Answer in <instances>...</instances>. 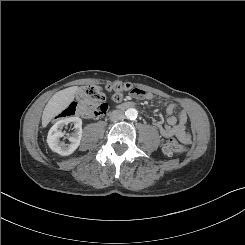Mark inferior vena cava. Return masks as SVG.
Wrapping results in <instances>:
<instances>
[{
    "mask_svg": "<svg viewBox=\"0 0 245 245\" xmlns=\"http://www.w3.org/2000/svg\"><path fill=\"white\" fill-rule=\"evenodd\" d=\"M124 118H125L124 113L121 110H114L110 113V120L111 121L116 122V121H120Z\"/></svg>",
    "mask_w": 245,
    "mask_h": 245,
    "instance_id": "602c4592",
    "label": "inferior vena cava"
}]
</instances>
